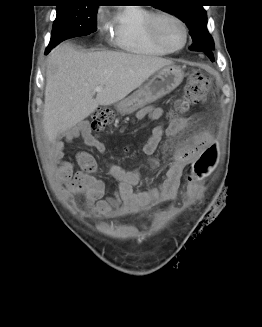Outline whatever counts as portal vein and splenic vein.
I'll return each mask as SVG.
<instances>
[{"mask_svg": "<svg viewBox=\"0 0 262 327\" xmlns=\"http://www.w3.org/2000/svg\"><path fill=\"white\" fill-rule=\"evenodd\" d=\"M102 90H103V88L100 87V86H96V87L94 88V92H100V91H102Z\"/></svg>", "mask_w": 262, "mask_h": 327, "instance_id": "1", "label": "portal vein and splenic vein"}]
</instances>
